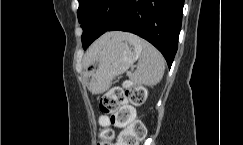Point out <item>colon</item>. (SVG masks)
Masks as SVG:
<instances>
[{"label":"colon","instance_id":"obj_1","mask_svg":"<svg viewBox=\"0 0 243 145\" xmlns=\"http://www.w3.org/2000/svg\"><path fill=\"white\" fill-rule=\"evenodd\" d=\"M146 99L142 86L125 81L121 86L111 88L101 99V129L97 145H138L145 137L144 125L136 120L134 107L141 106ZM111 126L121 128L114 144L115 132Z\"/></svg>","mask_w":243,"mask_h":145}]
</instances>
